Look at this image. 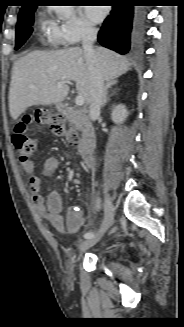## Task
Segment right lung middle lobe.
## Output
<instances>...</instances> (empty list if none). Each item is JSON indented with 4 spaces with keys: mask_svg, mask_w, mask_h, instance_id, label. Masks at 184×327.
Wrapping results in <instances>:
<instances>
[{
    "mask_svg": "<svg viewBox=\"0 0 184 327\" xmlns=\"http://www.w3.org/2000/svg\"><path fill=\"white\" fill-rule=\"evenodd\" d=\"M36 7L29 8L19 13L16 26L15 49H19L33 32L34 12Z\"/></svg>",
    "mask_w": 184,
    "mask_h": 327,
    "instance_id": "obj_1",
    "label": "right lung middle lobe"
}]
</instances>
